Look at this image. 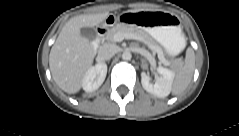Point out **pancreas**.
I'll return each instance as SVG.
<instances>
[{"label": "pancreas", "instance_id": "pancreas-1", "mask_svg": "<svg viewBox=\"0 0 239 136\" xmlns=\"http://www.w3.org/2000/svg\"><path fill=\"white\" fill-rule=\"evenodd\" d=\"M117 33H123V34H134L137 36H140L142 39H144L147 44L153 48L158 54L163 56V50L162 48L152 39L150 38L146 33H144L141 29L134 26H126L123 24H117L113 28H111L108 33L105 35L104 40H107L109 42H114V36ZM165 65L173 67L169 62L166 61Z\"/></svg>", "mask_w": 239, "mask_h": 136}]
</instances>
